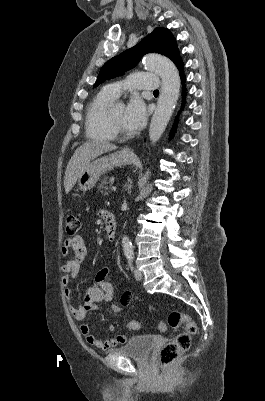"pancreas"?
I'll use <instances>...</instances> for the list:
<instances>
[{
    "instance_id": "pancreas-1",
    "label": "pancreas",
    "mask_w": 265,
    "mask_h": 401,
    "mask_svg": "<svg viewBox=\"0 0 265 401\" xmlns=\"http://www.w3.org/2000/svg\"><path fill=\"white\" fill-rule=\"evenodd\" d=\"M112 178H114V176H106V178H103L102 182H99V186H97L98 190H101V192H104L105 188L108 190L113 182Z\"/></svg>"
}]
</instances>
